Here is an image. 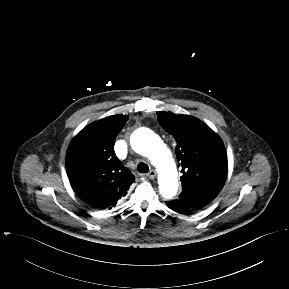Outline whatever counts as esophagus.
<instances>
[{
  "mask_svg": "<svg viewBox=\"0 0 289 289\" xmlns=\"http://www.w3.org/2000/svg\"><path fill=\"white\" fill-rule=\"evenodd\" d=\"M146 176L149 179H154L156 177V172L154 170H151Z\"/></svg>",
  "mask_w": 289,
  "mask_h": 289,
  "instance_id": "34e87169",
  "label": "esophagus"
}]
</instances>
